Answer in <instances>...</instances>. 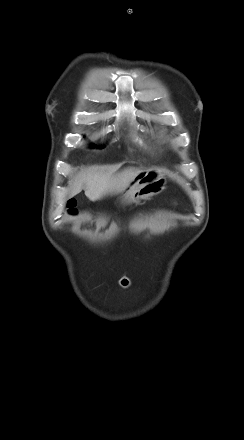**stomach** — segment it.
I'll use <instances>...</instances> for the list:
<instances>
[{
  "label": "stomach",
  "instance_id": "obj_1",
  "mask_svg": "<svg viewBox=\"0 0 244 440\" xmlns=\"http://www.w3.org/2000/svg\"><path fill=\"white\" fill-rule=\"evenodd\" d=\"M166 179L156 169L142 170L121 194L122 202L137 203L149 199L165 189Z\"/></svg>",
  "mask_w": 244,
  "mask_h": 440
}]
</instances>
